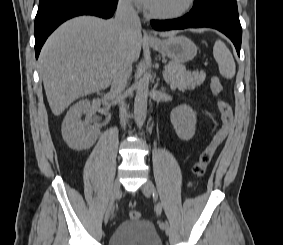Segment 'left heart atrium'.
Returning <instances> with one entry per match:
<instances>
[{
  "instance_id": "1",
  "label": "left heart atrium",
  "mask_w": 283,
  "mask_h": 245,
  "mask_svg": "<svg viewBox=\"0 0 283 245\" xmlns=\"http://www.w3.org/2000/svg\"><path fill=\"white\" fill-rule=\"evenodd\" d=\"M137 4L145 7V8H149V6L151 5L153 0H134Z\"/></svg>"
}]
</instances>
